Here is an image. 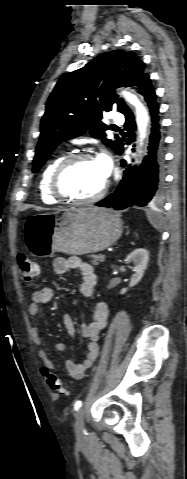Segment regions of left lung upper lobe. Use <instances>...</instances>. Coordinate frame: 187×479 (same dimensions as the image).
Returning a JSON list of instances; mask_svg holds the SVG:
<instances>
[{
    "mask_svg": "<svg viewBox=\"0 0 187 479\" xmlns=\"http://www.w3.org/2000/svg\"><path fill=\"white\" fill-rule=\"evenodd\" d=\"M145 63L134 52L114 50L104 53L83 68L63 75L51 93L46 112L41 120V136L33 160L37 172L53 150L67 139L80 136L86 130L116 153L122 141L105 139L108 126L102 119L103 111L112 107L124 113L128 109L114 90L121 86L139 91L142 81L149 77Z\"/></svg>",
    "mask_w": 187,
    "mask_h": 479,
    "instance_id": "1",
    "label": "left lung upper lobe"
}]
</instances>
